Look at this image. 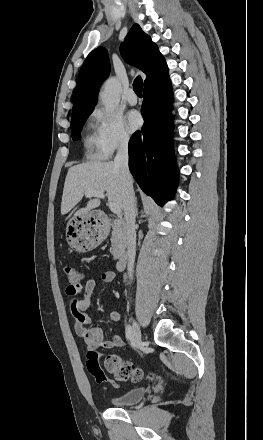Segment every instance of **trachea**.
<instances>
[{"mask_svg": "<svg viewBox=\"0 0 263 440\" xmlns=\"http://www.w3.org/2000/svg\"><path fill=\"white\" fill-rule=\"evenodd\" d=\"M142 88H143V81L140 77H137L133 83V90L138 96H142Z\"/></svg>", "mask_w": 263, "mask_h": 440, "instance_id": "3493384b", "label": "trachea"}]
</instances>
